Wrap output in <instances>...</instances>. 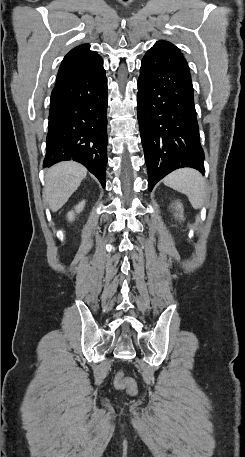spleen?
<instances>
[{
  "label": "spleen",
  "instance_id": "3e777b00",
  "mask_svg": "<svg viewBox=\"0 0 245 457\" xmlns=\"http://www.w3.org/2000/svg\"><path fill=\"white\" fill-rule=\"evenodd\" d=\"M164 184L171 186L174 190L187 194L194 208H201L205 202L206 184L205 180L195 168H178L173 170L164 178Z\"/></svg>",
  "mask_w": 245,
  "mask_h": 457
}]
</instances>
